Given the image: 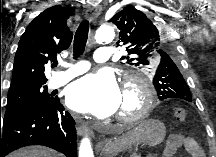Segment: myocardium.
I'll list each match as a JSON object with an SVG mask.
<instances>
[{"label":"myocardium","mask_w":216,"mask_h":157,"mask_svg":"<svg viewBox=\"0 0 216 157\" xmlns=\"http://www.w3.org/2000/svg\"><path fill=\"white\" fill-rule=\"evenodd\" d=\"M133 91L139 100L138 108L129 114H120L117 120L124 125H135L143 120L154 105V90L140 76H128L123 85V92Z\"/></svg>","instance_id":"myocardium-1"}]
</instances>
